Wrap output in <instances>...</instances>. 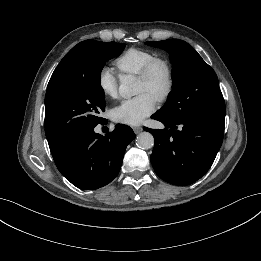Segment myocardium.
Here are the masks:
<instances>
[{
  "mask_svg": "<svg viewBox=\"0 0 261 261\" xmlns=\"http://www.w3.org/2000/svg\"><path fill=\"white\" fill-rule=\"evenodd\" d=\"M163 68L166 73V84L162 91H160L155 99L158 102L166 101L173 92L175 85V73L171 62L164 57L156 56L149 61L143 70L138 74V79L149 82L153 79L158 68Z\"/></svg>",
  "mask_w": 261,
  "mask_h": 261,
  "instance_id": "myocardium-1",
  "label": "myocardium"
}]
</instances>
